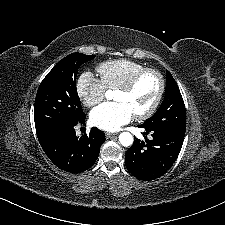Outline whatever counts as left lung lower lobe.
I'll list each match as a JSON object with an SVG mask.
<instances>
[{
    "label": "left lung lower lobe",
    "mask_w": 225,
    "mask_h": 225,
    "mask_svg": "<svg viewBox=\"0 0 225 225\" xmlns=\"http://www.w3.org/2000/svg\"><path fill=\"white\" fill-rule=\"evenodd\" d=\"M138 127L144 128L143 135L150 134L152 138L145 142L136 138L125 154V164L136 178L154 180L164 175L177 159L185 132L168 126L157 128L142 124Z\"/></svg>",
    "instance_id": "1"
}]
</instances>
